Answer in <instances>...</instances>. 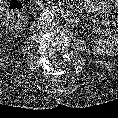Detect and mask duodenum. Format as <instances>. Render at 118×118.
<instances>
[{"label": "duodenum", "mask_w": 118, "mask_h": 118, "mask_svg": "<svg viewBox=\"0 0 118 118\" xmlns=\"http://www.w3.org/2000/svg\"><path fill=\"white\" fill-rule=\"evenodd\" d=\"M45 9L58 13L64 20H66L70 24L76 25L78 23L75 13L70 8L58 2L47 4L45 6Z\"/></svg>", "instance_id": "obj_1"}]
</instances>
